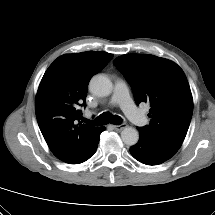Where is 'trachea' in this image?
I'll return each mask as SVG.
<instances>
[{
  "label": "trachea",
  "instance_id": "3493384b",
  "mask_svg": "<svg viewBox=\"0 0 215 215\" xmlns=\"http://www.w3.org/2000/svg\"><path fill=\"white\" fill-rule=\"evenodd\" d=\"M85 123L95 125V126H102L108 123L120 125L122 123V118L117 115H111L110 113H103L99 115L94 121L90 122L87 119L84 120Z\"/></svg>",
  "mask_w": 215,
  "mask_h": 215
}]
</instances>
